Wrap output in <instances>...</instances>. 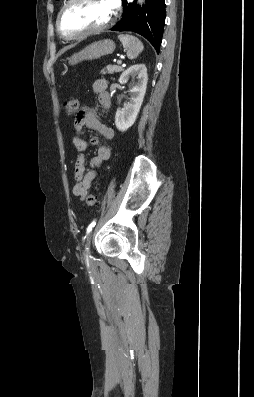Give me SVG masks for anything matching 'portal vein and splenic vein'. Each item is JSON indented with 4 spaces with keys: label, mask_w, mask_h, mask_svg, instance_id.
<instances>
[{
    "label": "portal vein and splenic vein",
    "mask_w": 254,
    "mask_h": 397,
    "mask_svg": "<svg viewBox=\"0 0 254 397\" xmlns=\"http://www.w3.org/2000/svg\"><path fill=\"white\" fill-rule=\"evenodd\" d=\"M117 64H118V65H121V64H122V62H121V61H117Z\"/></svg>",
    "instance_id": "portal-vein-and-splenic-vein-1"
}]
</instances>
